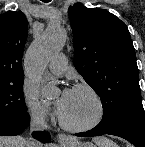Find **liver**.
I'll list each match as a JSON object with an SVG mask.
<instances>
[{
	"label": "liver",
	"mask_w": 145,
	"mask_h": 147,
	"mask_svg": "<svg viewBox=\"0 0 145 147\" xmlns=\"http://www.w3.org/2000/svg\"><path fill=\"white\" fill-rule=\"evenodd\" d=\"M103 138L95 139L98 145L101 144ZM0 147H27V141L21 136L1 137Z\"/></svg>",
	"instance_id": "obj_1"
}]
</instances>
